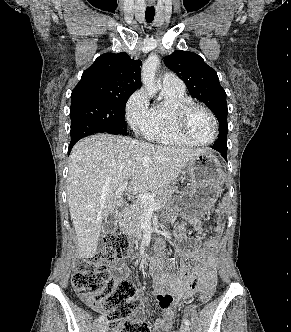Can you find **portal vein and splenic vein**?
<instances>
[{
  "instance_id": "1",
  "label": "portal vein and splenic vein",
  "mask_w": 291,
  "mask_h": 332,
  "mask_svg": "<svg viewBox=\"0 0 291 332\" xmlns=\"http://www.w3.org/2000/svg\"><path fill=\"white\" fill-rule=\"evenodd\" d=\"M127 186L128 183L122 184L116 193V197H120ZM138 200L153 209H160L162 207L160 204L155 203L153 196L148 193H139Z\"/></svg>"
}]
</instances>
